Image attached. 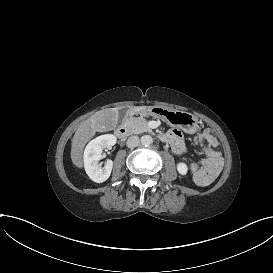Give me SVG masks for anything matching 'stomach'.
Masks as SVG:
<instances>
[{
	"label": "stomach",
	"instance_id": "1",
	"mask_svg": "<svg viewBox=\"0 0 273 273\" xmlns=\"http://www.w3.org/2000/svg\"><path fill=\"white\" fill-rule=\"evenodd\" d=\"M141 113L159 118L170 127L180 128L188 134H194L198 130V118L185 111L171 110L155 105L142 107Z\"/></svg>",
	"mask_w": 273,
	"mask_h": 273
}]
</instances>
